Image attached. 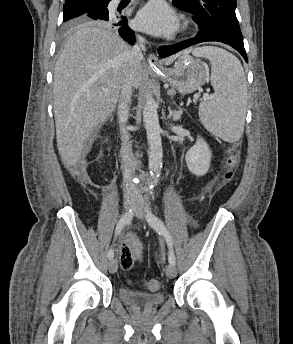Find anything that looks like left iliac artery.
Listing matches in <instances>:
<instances>
[{
  "mask_svg": "<svg viewBox=\"0 0 293 344\" xmlns=\"http://www.w3.org/2000/svg\"><path fill=\"white\" fill-rule=\"evenodd\" d=\"M145 211H146V219H147L148 224L154 230H156L159 234H162L164 236V238L168 244V247H169L168 261L171 265H175L176 259H175V255L173 252V243H172L171 235H170L169 231L166 229L162 220L153 214L149 200H147Z\"/></svg>",
  "mask_w": 293,
  "mask_h": 344,
  "instance_id": "obj_1",
  "label": "left iliac artery"
}]
</instances>
